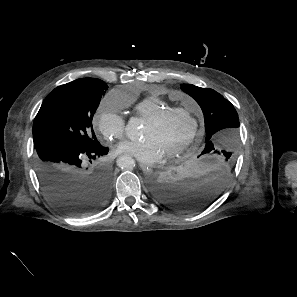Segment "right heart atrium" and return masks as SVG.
Returning a JSON list of instances; mask_svg holds the SVG:
<instances>
[{
	"instance_id": "right-heart-atrium-1",
	"label": "right heart atrium",
	"mask_w": 297,
	"mask_h": 297,
	"mask_svg": "<svg viewBox=\"0 0 297 297\" xmlns=\"http://www.w3.org/2000/svg\"><path fill=\"white\" fill-rule=\"evenodd\" d=\"M122 105L110 93L101 101L96 115L95 123L99 132L109 141L123 137L125 132V119L120 113Z\"/></svg>"
}]
</instances>
